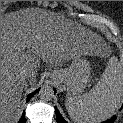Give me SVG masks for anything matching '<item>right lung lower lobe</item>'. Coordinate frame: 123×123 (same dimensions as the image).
Listing matches in <instances>:
<instances>
[{"mask_svg": "<svg viewBox=\"0 0 123 123\" xmlns=\"http://www.w3.org/2000/svg\"><path fill=\"white\" fill-rule=\"evenodd\" d=\"M39 91V89L35 90L34 92L30 93L27 96V102ZM18 123H26V119H25V114L23 112L22 117L20 118Z\"/></svg>", "mask_w": 123, "mask_h": 123, "instance_id": "obj_1", "label": "right lung lower lobe"}]
</instances>
